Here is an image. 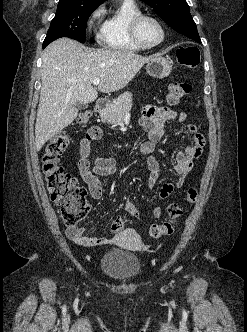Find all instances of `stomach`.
Wrapping results in <instances>:
<instances>
[{"instance_id":"1","label":"stomach","mask_w":247,"mask_h":332,"mask_svg":"<svg viewBox=\"0 0 247 332\" xmlns=\"http://www.w3.org/2000/svg\"><path fill=\"white\" fill-rule=\"evenodd\" d=\"M172 70V63L169 59L161 56H156L150 60L146 65L147 73L156 78L167 77Z\"/></svg>"}]
</instances>
